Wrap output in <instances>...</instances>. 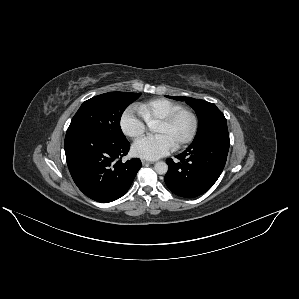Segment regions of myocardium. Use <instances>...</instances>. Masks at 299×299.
<instances>
[{
    "label": "myocardium",
    "mask_w": 299,
    "mask_h": 299,
    "mask_svg": "<svg viewBox=\"0 0 299 299\" xmlns=\"http://www.w3.org/2000/svg\"><path fill=\"white\" fill-rule=\"evenodd\" d=\"M183 113L190 114V116L192 117V120H193V126H192L190 134L182 142H180L179 144H177L175 146L176 149H180V148L188 145L195 138L196 133L198 131V127H199V119H198L196 112L190 108L182 107V108L172 112L165 118L161 119L157 123V124H163V125H170Z\"/></svg>",
    "instance_id": "1"
}]
</instances>
